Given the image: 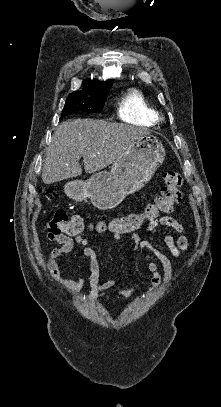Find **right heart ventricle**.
Returning a JSON list of instances; mask_svg holds the SVG:
<instances>
[{
    "label": "right heart ventricle",
    "mask_w": 221,
    "mask_h": 407,
    "mask_svg": "<svg viewBox=\"0 0 221 407\" xmlns=\"http://www.w3.org/2000/svg\"><path fill=\"white\" fill-rule=\"evenodd\" d=\"M117 116L123 121L143 125H152L158 119L156 106L139 88H132L121 97Z\"/></svg>",
    "instance_id": "obj_1"
}]
</instances>
